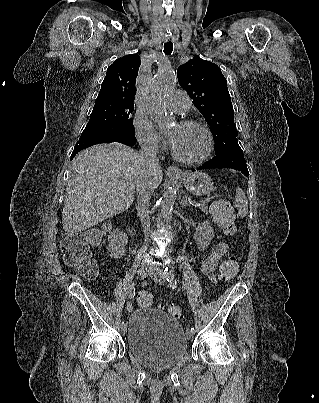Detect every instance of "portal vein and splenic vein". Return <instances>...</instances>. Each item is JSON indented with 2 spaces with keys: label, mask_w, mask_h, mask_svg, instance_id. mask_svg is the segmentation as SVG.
<instances>
[{
  "label": "portal vein and splenic vein",
  "mask_w": 319,
  "mask_h": 403,
  "mask_svg": "<svg viewBox=\"0 0 319 403\" xmlns=\"http://www.w3.org/2000/svg\"><path fill=\"white\" fill-rule=\"evenodd\" d=\"M207 201H210V198H207V199H204V200H202V201H200V202H197V203H195L194 205L199 207L200 205L204 204V203L207 202Z\"/></svg>",
  "instance_id": "18ae733b"
}]
</instances>
